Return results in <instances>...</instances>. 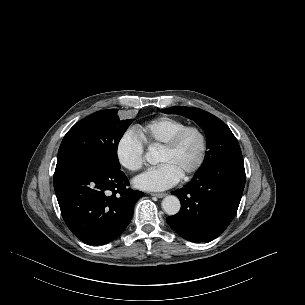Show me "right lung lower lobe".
Segmentation results:
<instances>
[{
	"label": "right lung lower lobe",
	"mask_w": 305,
	"mask_h": 305,
	"mask_svg": "<svg viewBox=\"0 0 305 305\" xmlns=\"http://www.w3.org/2000/svg\"><path fill=\"white\" fill-rule=\"evenodd\" d=\"M121 170L91 163L56 167L54 189L65 223L88 245H102L118 237L144 195L127 186Z\"/></svg>",
	"instance_id": "right-lung-lower-lobe-1"
}]
</instances>
